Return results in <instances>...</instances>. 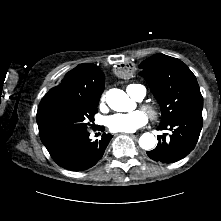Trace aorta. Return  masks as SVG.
<instances>
[{"instance_id": "obj_1", "label": "aorta", "mask_w": 221, "mask_h": 221, "mask_svg": "<svg viewBox=\"0 0 221 221\" xmlns=\"http://www.w3.org/2000/svg\"><path fill=\"white\" fill-rule=\"evenodd\" d=\"M106 102L108 106L117 112L131 111L134 107L133 101L129 96L120 89H110L106 94ZM156 138L153 134L146 132L139 138V145L142 149L150 150L154 148Z\"/></svg>"}]
</instances>
